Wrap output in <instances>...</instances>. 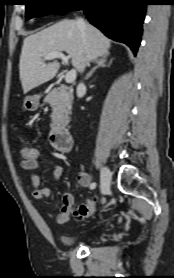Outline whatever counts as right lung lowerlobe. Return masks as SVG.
<instances>
[{
    "label": "right lung lower lobe",
    "instance_id": "right-lung-lower-lobe-1",
    "mask_svg": "<svg viewBox=\"0 0 174 278\" xmlns=\"http://www.w3.org/2000/svg\"><path fill=\"white\" fill-rule=\"evenodd\" d=\"M146 5L145 0H79L71 10H83L91 24L136 54Z\"/></svg>",
    "mask_w": 174,
    "mask_h": 278
}]
</instances>
